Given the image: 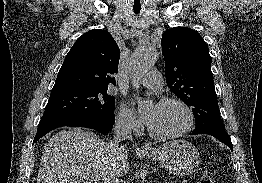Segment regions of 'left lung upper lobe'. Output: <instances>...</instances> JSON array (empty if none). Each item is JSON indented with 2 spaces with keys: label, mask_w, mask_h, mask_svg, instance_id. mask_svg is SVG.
Here are the masks:
<instances>
[{
  "label": "left lung upper lobe",
  "mask_w": 262,
  "mask_h": 183,
  "mask_svg": "<svg viewBox=\"0 0 262 183\" xmlns=\"http://www.w3.org/2000/svg\"><path fill=\"white\" fill-rule=\"evenodd\" d=\"M162 53L169 88L192 108L193 133L225 131L220 117L208 45L195 30L174 27L162 35Z\"/></svg>",
  "instance_id": "left-lung-upper-lobe-1"
}]
</instances>
